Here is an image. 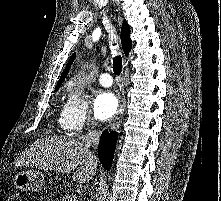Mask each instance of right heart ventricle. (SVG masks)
Wrapping results in <instances>:
<instances>
[{
	"mask_svg": "<svg viewBox=\"0 0 221 201\" xmlns=\"http://www.w3.org/2000/svg\"><path fill=\"white\" fill-rule=\"evenodd\" d=\"M65 113H66V110H65V106L60 110V113H59V118H58V123L60 124V126L62 127L63 130H67L66 128V124H65Z\"/></svg>",
	"mask_w": 221,
	"mask_h": 201,
	"instance_id": "e07e8e85",
	"label": "right heart ventricle"
}]
</instances>
